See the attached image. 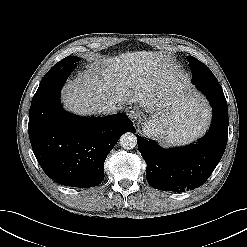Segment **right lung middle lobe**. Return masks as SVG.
Listing matches in <instances>:
<instances>
[{"label":"right lung middle lobe","mask_w":247,"mask_h":247,"mask_svg":"<svg viewBox=\"0 0 247 247\" xmlns=\"http://www.w3.org/2000/svg\"><path fill=\"white\" fill-rule=\"evenodd\" d=\"M79 60L78 57L76 56H68L64 59H62L61 61H59L58 63H56L50 70H58V69H62V68H67L70 70H73L76 66V62Z\"/></svg>","instance_id":"right-lung-middle-lobe-1"}]
</instances>
